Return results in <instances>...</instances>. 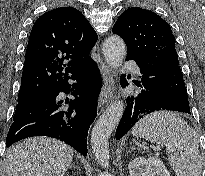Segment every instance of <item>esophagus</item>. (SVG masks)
Here are the masks:
<instances>
[{"label":"esophagus","mask_w":205,"mask_h":176,"mask_svg":"<svg viewBox=\"0 0 205 176\" xmlns=\"http://www.w3.org/2000/svg\"><path fill=\"white\" fill-rule=\"evenodd\" d=\"M99 69L102 75L103 84L98 98V109H103L104 105L113 97L115 83L113 72L107 64L101 62Z\"/></svg>","instance_id":"34e87169"}]
</instances>
